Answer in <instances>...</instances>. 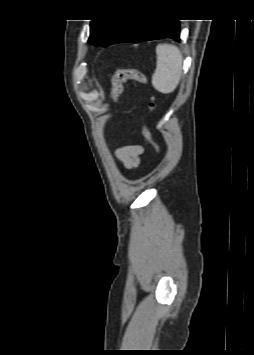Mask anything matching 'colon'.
<instances>
[{
  "mask_svg": "<svg viewBox=\"0 0 254 355\" xmlns=\"http://www.w3.org/2000/svg\"><path fill=\"white\" fill-rule=\"evenodd\" d=\"M133 80L142 84L147 83V78L141 72L134 69H118L112 77V86L110 90V97L117 101L121 96L126 81ZM155 104L153 97L150 98L148 103V116L150 117ZM143 137L149 142L156 151H159V146L153 139L149 124L147 123L143 128Z\"/></svg>",
  "mask_w": 254,
  "mask_h": 355,
  "instance_id": "5ec220e1",
  "label": "colon"
}]
</instances>
